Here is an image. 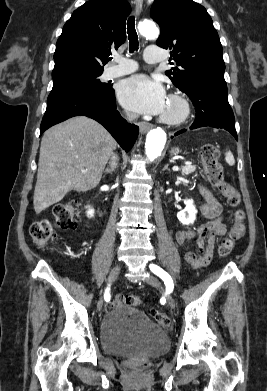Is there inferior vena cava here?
<instances>
[{
	"label": "inferior vena cava",
	"mask_w": 267,
	"mask_h": 391,
	"mask_svg": "<svg viewBox=\"0 0 267 391\" xmlns=\"http://www.w3.org/2000/svg\"><path fill=\"white\" fill-rule=\"evenodd\" d=\"M136 117H137V116L134 115V114H129V115H128V120H129V121H132V120L135 119ZM111 160H112V165H115V164H116V160H117V156H116V155H112Z\"/></svg>",
	"instance_id": "1"
}]
</instances>
